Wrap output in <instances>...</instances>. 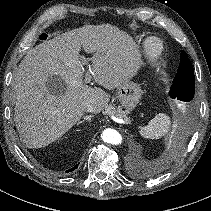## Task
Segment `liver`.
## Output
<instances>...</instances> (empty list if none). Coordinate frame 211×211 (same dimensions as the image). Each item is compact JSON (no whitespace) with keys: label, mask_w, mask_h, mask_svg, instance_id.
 <instances>
[{"label":"liver","mask_w":211,"mask_h":211,"mask_svg":"<svg viewBox=\"0 0 211 211\" xmlns=\"http://www.w3.org/2000/svg\"><path fill=\"white\" fill-rule=\"evenodd\" d=\"M81 47L93 55V79L105 89L118 88L135 75L137 48L130 36L111 26L85 25L28 51L13 79L14 120L28 148L45 147L62 137L84 115L86 103L94 105L96 114L107 106L109 94L83 80L88 63L80 57ZM53 75L63 81L58 95L46 85Z\"/></svg>","instance_id":"obj_1"}]
</instances>
